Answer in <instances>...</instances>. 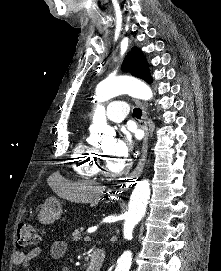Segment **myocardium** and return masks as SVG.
<instances>
[{"instance_id": "1", "label": "myocardium", "mask_w": 221, "mask_h": 271, "mask_svg": "<svg viewBox=\"0 0 221 271\" xmlns=\"http://www.w3.org/2000/svg\"><path fill=\"white\" fill-rule=\"evenodd\" d=\"M110 158H104L99 162L101 166V170L106 173H102V178H107V176H119L126 175L128 170H132L134 167L130 165V163H134V158H125L122 161V165H118L117 163H110Z\"/></svg>"}]
</instances>
